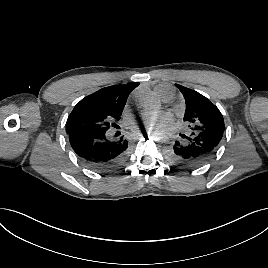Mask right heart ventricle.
<instances>
[{"label":"right heart ventricle","instance_id":"right-heart-ventricle-1","mask_svg":"<svg viewBox=\"0 0 268 268\" xmlns=\"http://www.w3.org/2000/svg\"><path fill=\"white\" fill-rule=\"evenodd\" d=\"M157 93L162 97H166L170 95V92L165 88V87H158L157 88Z\"/></svg>","mask_w":268,"mask_h":268}]
</instances>
